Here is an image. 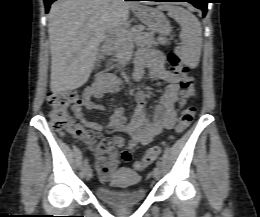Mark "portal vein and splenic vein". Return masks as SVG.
I'll use <instances>...</instances> for the list:
<instances>
[{"instance_id": "1", "label": "portal vein and splenic vein", "mask_w": 260, "mask_h": 217, "mask_svg": "<svg viewBox=\"0 0 260 217\" xmlns=\"http://www.w3.org/2000/svg\"><path fill=\"white\" fill-rule=\"evenodd\" d=\"M118 31H113V32H111V33H113V34H116Z\"/></svg>"}]
</instances>
